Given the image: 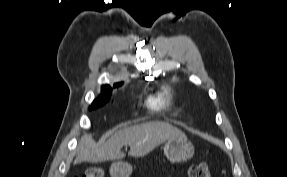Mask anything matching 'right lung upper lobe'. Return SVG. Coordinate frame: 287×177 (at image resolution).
<instances>
[{"label":"right lung upper lobe","mask_w":287,"mask_h":177,"mask_svg":"<svg viewBox=\"0 0 287 177\" xmlns=\"http://www.w3.org/2000/svg\"><path fill=\"white\" fill-rule=\"evenodd\" d=\"M123 83H116L114 84V87H117V86H121ZM102 87H110L109 85H105V86H102Z\"/></svg>","instance_id":"obj_1"}]
</instances>
